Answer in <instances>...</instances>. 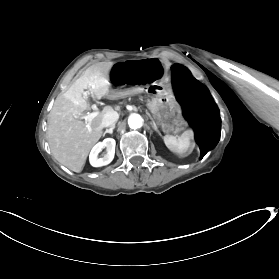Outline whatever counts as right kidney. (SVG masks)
I'll use <instances>...</instances> for the list:
<instances>
[{"instance_id": "ca27d5eb", "label": "right kidney", "mask_w": 279, "mask_h": 279, "mask_svg": "<svg viewBox=\"0 0 279 279\" xmlns=\"http://www.w3.org/2000/svg\"><path fill=\"white\" fill-rule=\"evenodd\" d=\"M115 145L116 142L113 138H106L102 142H98L91 150L89 155L90 164L93 167H100L109 164L115 154ZM103 148H106V154L103 157L99 158L98 154L102 151Z\"/></svg>"}]
</instances>
